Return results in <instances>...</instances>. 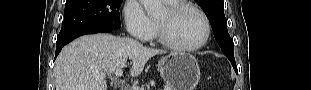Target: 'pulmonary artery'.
<instances>
[{
  "label": "pulmonary artery",
  "mask_w": 311,
  "mask_h": 90,
  "mask_svg": "<svg viewBox=\"0 0 311 90\" xmlns=\"http://www.w3.org/2000/svg\"><path fill=\"white\" fill-rule=\"evenodd\" d=\"M166 1H169V2H174V1H176V0H166Z\"/></svg>",
  "instance_id": "obj_1"
}]
</instances>
